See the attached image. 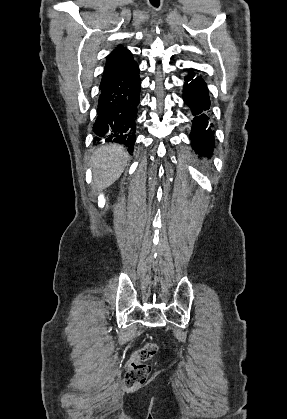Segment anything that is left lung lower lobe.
I'll use <instances>...</instances> for the list:
<instances>
[{
  "label": "left lung lower lobe",
  "instance_id": "0a47b994",
  "mask_svg": "<svg viewBox=\"0 0 287 419\" xmlns=\"http://www.w3.org/2000/svg\"><path fill=\"white\" fill-rule=\"evenodd\" d=\"M183 99L194 117L190 140L196 154H212L214 144L213 124L210 119V100L205 81L195 76L192 69L185 77Z\"/></svg>",
  "mask_w": 287,
  "mask_h": 419
}]
</instances>
